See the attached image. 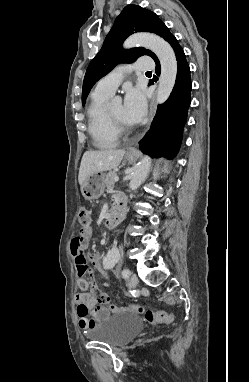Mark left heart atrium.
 <instances>
[{
  "instance_id": "1",
  "label": "left heart atrium",
  "mask_w": 249,
  "mask_h": 382,
  "mask_svg": "<svg viewBox=\"0 0 249 382\" xmlns=\"http://www.w3.org/2000/svg\"><path fill=\"white\" fill-rule=\"evenodd\" d=\"M145 112L146 99L143 90L138 87L128 88L123 104L124 120L131 125L138 124L142 121Z\"/></svg>"
}]
</instances>
